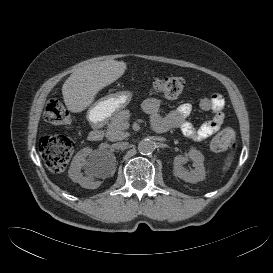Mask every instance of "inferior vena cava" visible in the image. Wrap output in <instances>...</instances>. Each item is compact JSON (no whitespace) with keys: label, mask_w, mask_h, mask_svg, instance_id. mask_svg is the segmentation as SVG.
<instances>
[{"label":"inferior vena cava","mask_w":273,"mask_h":273,"mask_svg":"<svg viewBox=\"0 0 273 273\" xmlns=\"http://www.w3.org/2000/svg\"><path fill=\"white\" fill-rule=\"evenodd\" d=\"M128 147V142H117L113 144V148L116 150H125Z\"/></svg>","instance_id":"1"}]
</instances>
